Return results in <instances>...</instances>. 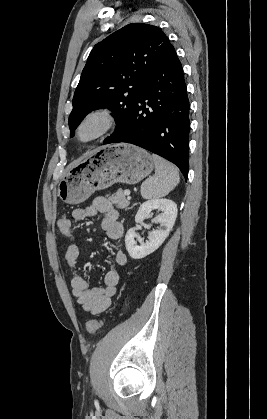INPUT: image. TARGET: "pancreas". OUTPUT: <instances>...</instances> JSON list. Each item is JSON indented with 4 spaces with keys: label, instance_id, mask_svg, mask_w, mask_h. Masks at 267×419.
Listing matches in <instances>:
<instances>
[{
    "label": "pancreas",
    "instance_id": "obj_1",
    "mask_svg": "<svg viewBox=\"0 0 267 419\" xmlns=\"http://www.w3.org/2000/svg\"><path fill=\"white\" fill-rule=\"evenodd\" d=\"M107 197L118 209H124L129 206V201L121 189L111 196L107 195Z\"/></svg>",
    "mask_w": 267,
    "mask_h": 419
}]
</instances>
